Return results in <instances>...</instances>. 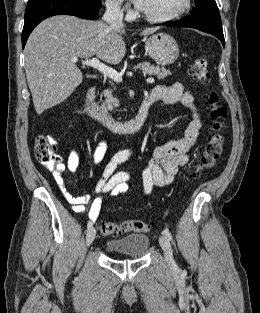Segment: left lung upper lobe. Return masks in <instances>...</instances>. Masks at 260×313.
<instances>
[{
	"mask_svg": "<svg viewBox=\"0 0 260 313\" xmlns=\"http://www.w3.org/2000/svg\"><path fill=\"white\" fill-rule=\"evenodd\" d=\"M196 8L184 17L182 21L188 22L198 29H208L223 32L219 10L215 0H195Z\"/></svg>",
	"mask_w": 260,
	"mask_h": 313,
	"instance_id": "5c2ea615",
	"label": "left lung upper lobe"
}]
</instances>
